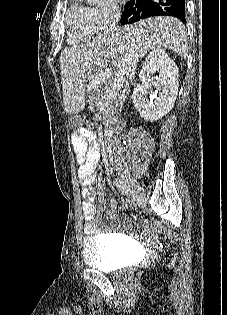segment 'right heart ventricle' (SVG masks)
I'll return each mask as SVG.
<instances>
[{"instance_id":"obj_1","label":"right heart ventricle","mask_w":227,"mask_h":315,"mask_svg":"<svg viewBox=\"0 0 227 315\" xmlns=\"http://www.w3.org/2000/svg\"><path fill=\"white\" fill-rule=\"evenodd\" d=\"M65 22L70 43L88 40L101 30L94 14V8L85 5L82 0H71L65 14Z\"/></svg>"}]
</instances>
